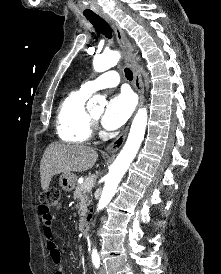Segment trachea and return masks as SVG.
<instances>
[{
    "mask_svg": "<svg viewBox=\"0 0 221 274\" xmlns=\"http://www.w3.org/2000/svg\"><path fill=\"white\" fill-rule=\"evenodd\" d=\"M90 23L97 29L100 33H102L108 39L112 38V30L108 23L98 15L87 17ZM126 78L131 81L133 79V73L129 68L124 69Z\"/></svg>",
    "mask_w": 221,
    "mask_h": 274,
    "instance_id": "3493384b",
    "label": "trachea"
}]
</instances>
